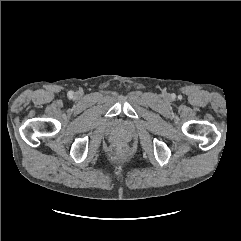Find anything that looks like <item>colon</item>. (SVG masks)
Instances as JSON below:
<instances>
[{
	"label": "colon",
	"instance_id": "5ec220e1",
	"mask_svg": "<svg viewBox=\"0 0 241 241\" xmlns=\"http://www.w3.org/2000/svg\"><path fill=\"white\" fill-rule=\"evenodd\" d=\"M121 151H122V150H121V148H120V147H116V148H115V152H116L117 154H120V153H121Z\"/></svg>",
	"mask_w": 241,
	"mask_h": 241
}]
</instances>
